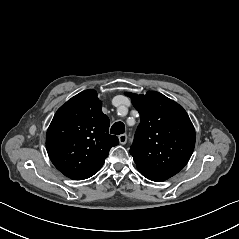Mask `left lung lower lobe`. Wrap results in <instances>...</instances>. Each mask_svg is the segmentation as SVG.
<instances>
[{"label": "left lung lower lobe", "instance_id": "0a47b994", "mask_svg": "<svg viewBox=\"0 0 239 239\" xmlns=\"http://www.w3.org/2000/svg\"><path fill=\"white\" fill-rule=\"evenodd\" d=\"M138 170L144 177L156 182L164 181L175 175L170 173H162V172H155V171L142 170V169H138Z\"/></svg>", "mask_w": 239, "mask_h": 239}]
</instances>
